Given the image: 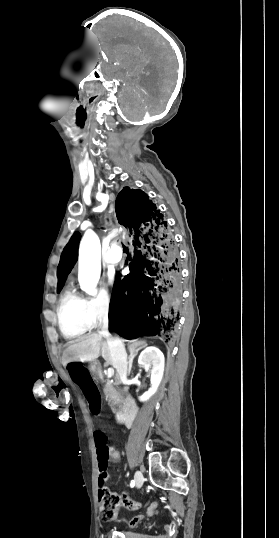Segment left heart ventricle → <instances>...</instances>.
<instances>
[{
	"label": "left heart ventricle",
	"instance_id": "left-heart-ventricle-1",
	"mask_svg": "<svg viewBox=\"0 0 279 538\" xmlns=\"http://www.w3.org/2000/svg\"><path fill=\"white\" fill-rule=\"evenodd\" d=\"M83 208H84V207H68V209H69L70 211H73V210H74V211H79V210H82Z\"/></svg>",
	"mask_w": 279,
	"mask_h": 538
}]
</instances>
